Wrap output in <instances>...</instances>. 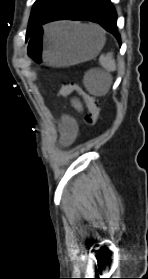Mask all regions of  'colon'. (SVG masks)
<instances>
[{
  "label": "colon",
  "mask_w": 148,
  "mask_h": 279,
  "mask_svg": "<svg viewBox=\"0 0 148 279\" xmlns=\"http://www.w3.org/2000/svg\"><path fill=\"white\" fill-rule=\"evenodd\" d=\"M59 94L67 96L70 94H78L88 109V114L85 117V121L88 125H95L100 116V108L97 100L94 96L85 92L82 87L77 83H63L60 87Z\"/></svg>",
  "instance_id": "colon-1"
}]
</instances>
